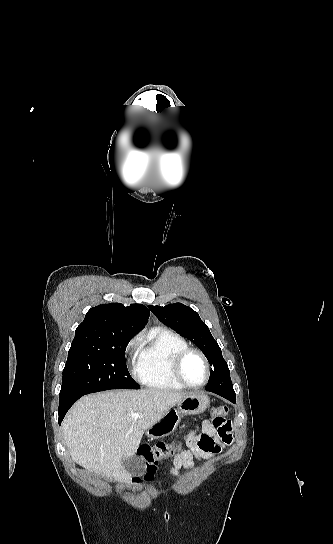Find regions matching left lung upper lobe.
<instances>
[{
	"label": "left lung upper lobe",
	"mask_w": 333,
	"mask_h": 544,
	"mask_svg": "<svg viewBox=\"0 0 333 544\" xmlns=\"http://www.w3.org/2000/svg\"><path fill=\"white\" fill-rule=\"evenodd\" d=\"M148 307L162 323L190 339L204 353L212 366L207 391L234 392L221 349L196 311L181 303Z\"/></svg>",
	"instance_id": "5c2ea615"
}]
</instances>
